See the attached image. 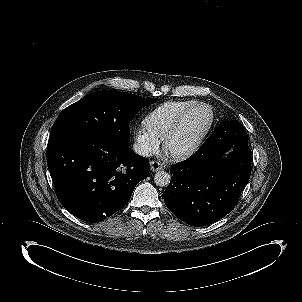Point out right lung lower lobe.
I'll list each match as a JSON object with an SVG mask.
<instances>
[{
  "label": "right lung lower lobe",
  "instance_id": "1",
  "mask_svg": "<svg viewBox=\"0 0 302 302\" xmlns=\"http://www.w3.org/2000/svg\"><path fill=\"white\" fill-rule=\"evenodd\" d=\"M129 145L96 134L49 141L47 165L60 203L81 220L97 223L124 207L150 170Z\"/></svg>",
  "mask_w": 302,
  "mask_h": 302
}]
</instances>
